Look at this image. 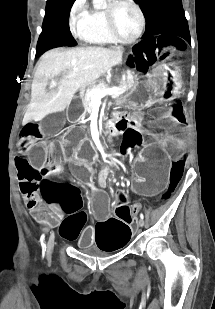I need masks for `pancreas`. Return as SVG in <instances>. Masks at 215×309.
Masks as SVG:
<instances>
[{
    "mask_svg": "<svg viewBox=\"0 0 215 309\" xmlns=\"http://www.w3.org/2000/svg\"><path fill=\"white\" fill-rule=\"evenodd\" d=\"M118 82V86H120L121 90H127V88H131V86H133L134 84L133 78L132 80H128V78H125V80H123L122 78V80H118ZM109 84H111L110 80H103L102 78V80H97V84H91L89 88H86V92H81L80 96H82L84 100L85 110L86 112H88V114H90V112H92L93 110V102L88 92H94V90H102V88H106V86H109ZM122 102H125L123 94L115 96L114 104H122Z\"/></svg>",
    "mask_w": 215,
    "mask_h": 309,
    "instance_id": "1",
    "label": "pancreas"
}]
</instances>
